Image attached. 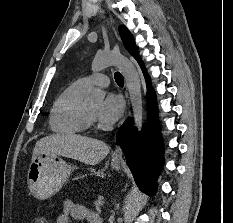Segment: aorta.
I'll use <instances>...</instances> for the list:
<instances>
[{
	"label": "aorta",
	"mask_w": 233,
	"mask_h": 223,
	"mask_svg": "<svg viewBox=\"0 0 233 223\" xmlns=\"http://www.w3.org/2000/svg\"><path fill=\"white\" fill-rule=\"evenodd\" d=\"M109 66H117L124 76L130 94L135 125L138 131H141L143 125V104L138 72L133 64L129 60H126V58H123V56H102V58H94L92 72H101V70H105ZM105 96L106 94L103 90L90 88L86 94V102L97 104V102H103Z\"/></svg>",
	"instance_id": "aorta-1"
}]
</instances>
